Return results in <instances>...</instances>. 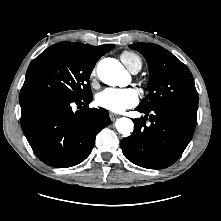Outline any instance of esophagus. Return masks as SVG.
Listing matches in <instances>:
<instances>
[{
	"instance_id": "1",
	"label": "esophagus",
	"mask_w": 221,
	"mask_h": 221,
	"mask_svg": "<svg viewBox=\"0 0 221 221\" xmlns=\"http://www.w3.org/2000/svg\"><path fill=\"white\" fill-rule=\"evenodd\" d=\"M109 117H110L111 121H115L119 117V115H117L115 113H110Z\"/></svg>"
}]
</instances>
